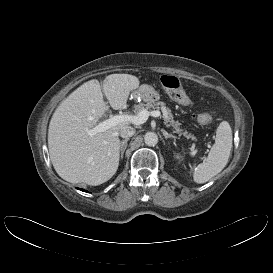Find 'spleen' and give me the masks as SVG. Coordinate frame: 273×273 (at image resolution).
I'll list each match as a JSON object with an SVG mask.
<instances>
[{
	"instance_id": "obj_1",
	"label": "spleen",
	"mask_w": 273,
	"mask_h": 273,
	"mask_svg": "<svg viewBox=\"0 0 273 273\" xmlns=\"http://www.w3.org/2000/svg\"><path fill=\"white\" fill-rule=\"evenodd\" d=\"M232 130L228 122L223 121L216 130L215 143L207 159L197 165L193 171L196 183H205L220 173L228 163L232 148Z\"/></svg>"
}]
</instances>
